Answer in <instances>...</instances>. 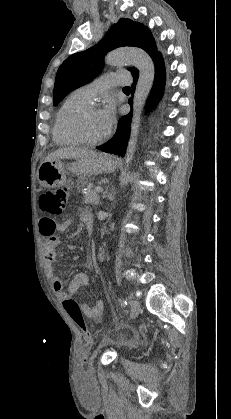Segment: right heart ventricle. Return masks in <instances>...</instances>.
Returning <instances> with one entry per match:
<instances>
[{
    "label": "right heart ventricle",
    "mask_w": 231,
    "mask_h": 419,
    "mask_svg": "<svg viewBox=\"0 0 231 419\" xmlns=\"http://www.w3.org/2000/svg\"><path fill=\"white\" fill-rule=\"evenodd\" d=\"M90 100L85 98L79 90L72 92L59 107L53 124L52 136L57 144L74 145L77 144L75 140L70 138L64 130V120L66 116L74 109L89 103Z\"/></svg>",
    "instance_id": "1"
}]
</instances>
